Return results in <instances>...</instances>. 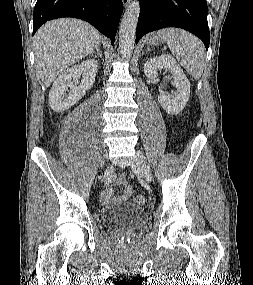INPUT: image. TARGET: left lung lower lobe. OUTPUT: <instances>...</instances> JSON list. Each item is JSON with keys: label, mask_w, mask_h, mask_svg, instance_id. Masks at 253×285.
<instances>
[{"label": "left lung lower lobe", "mask_w": 253, "mask_h": 285, "mask_svg": "<svg viewBox=\"0 0 253 285\" xmlns=\"http://www.w3.org/2000/svg\"><path fill=\"white\" fill-rule=\"evenodd\" d=\"M207 13L206 0H140L136 43L148 32L178 27L199 37L208 50L210 33Z\"/></svg>", "instance_id": "0a47b994"}]
</instances>
